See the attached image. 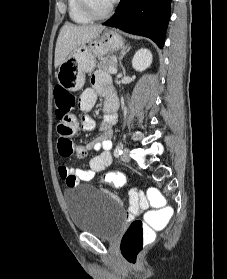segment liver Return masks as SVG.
<instances>
[{
  "label": "liver",
  "mask_w": 227,
  "mask_h": 279,
  "mask_svg": "<svg viewBox=\"0 0 227 279\" xmlns=\"http://www.w3.org/2000/svg\"><path fill=\"white\" fill-rule=\"evenodd\" d=\"M105 29L102 25H73L66 23L60 30L56 48L54 66L57 68L72 53V51L90 42Z\"/></svg>",
  "instance_id": "1"
}]
</instances>
